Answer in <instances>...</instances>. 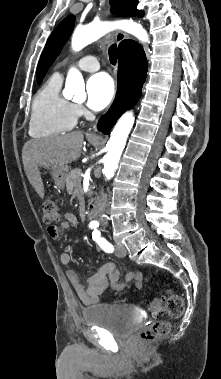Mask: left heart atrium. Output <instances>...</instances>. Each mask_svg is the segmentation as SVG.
I'll list each match as a JSON object with an SVG mask.
<instances>
[{
  "instance_id": "39dd6f15",
  "label": "left heart atrium",
  "mask_w": 221,
  "mask_h": 379,
  "mask_svg": "<svg viewBox=\"0 0 221 379\" xmlns=\"http://www.w3.org/2000/svg\"><path fill=\"white\" fill-rule=\"evenodd\" d=\"M86 90L88 107L100 111L112 101L115 94V84L108 74L98 73L90 77Z\"/></svg>"
}]
</instances>
